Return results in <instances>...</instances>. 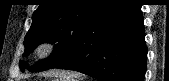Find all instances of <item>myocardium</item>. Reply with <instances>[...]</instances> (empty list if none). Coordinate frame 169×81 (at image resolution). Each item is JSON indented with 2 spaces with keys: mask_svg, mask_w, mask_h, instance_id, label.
Instances as JSON below:
<instances>
[{
  "mask_svg": "<svg viewBox=\"0 0 169 81\" xmlns=\"http://www.w3.org/2000/svg\"><path fill=\"white\" fill-rule=\"evenodd\" d=\"M57 43L52 39H43L37 43L34 54L38 60H47L57 51Z\"/></svg>",
  "mask_w": 169,
  "mask_h": 81,
  "instance_id": "obj_1",
  "label": "myocardium"
}]
</instances>
